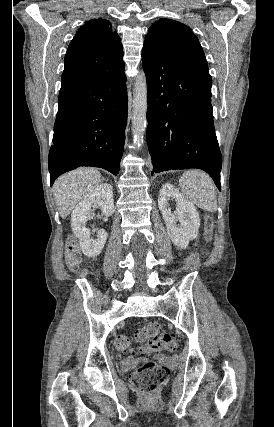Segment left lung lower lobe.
<instances>
[{
    "label": "left lung lower lobe",
    "mask_w": 274,
    "mask_h": 427,
    "mask_svg": "<svg viewBox=\"0 0 274 427\" xmlns=\"http://www.w3.org/2000/svg\"><path fill=\"white\" fill-rule=\"evenodd\" d=\"M142 62L147 81L151 175L199 168L221 190L222 157L213 123L210 74L177 62L149 42H144Z\"/></svg>",
    "instance_id": "obj_1"
}]
</instances>
